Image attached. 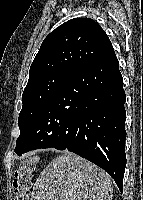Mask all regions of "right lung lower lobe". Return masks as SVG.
Listing matches in <instances>:
<instances>
[{
  "label": "right lung lower lobe",
  "mask_w": 143,
  "mask_h": 200,
  "mask_svg": "<svg viewBox=\"0 0 143 200\" xmlns=\"http://www.w3.org/2000/svg\"><path fill=\"white\" fill-rule=\"evenodd\" d=\"M114 52L84 67L58 88L31 124L17 155L67 149L103 168L123 190L125 92Z\"/></svg>",
  "instance_id": "obj_1"
}]
</instances>
